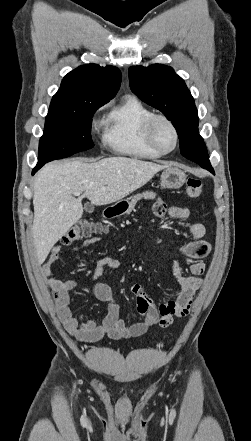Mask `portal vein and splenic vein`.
<instances>
[{"mask_svg":"<svg viewBox=\"0 0 251 441\" xmlns=\"http://www.w3.org/2000/svg\"><path fill=\"white\" fill-rule=\"evenodd\" d=\"M102 190H105L106 188L105 187H102L101 188ZM81 191H76V192H74L73 194H74V196H80L81 195Z\"/></svg>","mask_w":251,"mask_h":441,"instance_id":"portal-vein-and-splenic-vein-1","label":"portal vein and splenic vein"}]
</instances>
